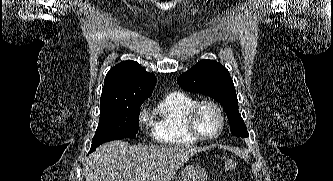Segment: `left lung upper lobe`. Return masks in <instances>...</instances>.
Returning a JSON list of instances; mask_svg holds the SVG:
<instances>
[{"label":"left lung upper lobe","instance_id":"obj_1","mask_svg":"<svg viewBox=\"0 0 333 181\" xmlns=\"http://www.w3.org/2000/svg\"><path fill=\"white\" fill-rule=\"evenodd\" d=\"M185 91L207 95L220 103L231 124V133L237 137L249 136L238 111V99L228 70L213 60H201L178 78Z\"/></svg>","mask_w":333,"mask_h":181}]
</instances>
